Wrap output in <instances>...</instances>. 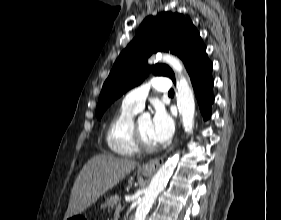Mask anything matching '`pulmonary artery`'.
<instances>
[{
	"label": "pulmonary artery",
	"instance_id": "e3ab8cb5",
	"mask_svg": "<svg viewBox=\"0 0 281 220\" xmlns=\"http://www.w3.org/2000/svg\"><path fill=\"white\" fill-rule=\"evenodd\" d=\"M151 88L158 91L166 92L171 88V81L167 77H154L149 82L142 84L128 92L123 99V102L136 110L143 109L145 100Z\"/></svg>",
	"mask_w": 281,
	"mask_h": 220
}]
</instances>
